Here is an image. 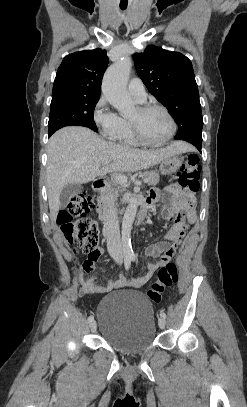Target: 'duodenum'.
<instances>
[{
    "mask_svg": "<svg viewBox=\"0 0 247 407\" xmlns=\"http://www.w3.org/2000/svg\"><path fill=\"white\" fill-rule=\"evenodd\" d=\"M108 185V182L104 178H97L93 182V190L96 193H101ZM150 205L146 202L143 201V203L140 206V209L138 211V216H137V223L140 224L142 223L147 215H148V210H149ZM96 213L98 214L99 218L101 221L108 223L110 222L112 218V211L111 208L106 205L104 202H98L97 207H96Z\"/></svg>",
    "mask_w": 247,
    "mask_h": 407,
    "instance_id": "duodenum-1",
    "label": "duodenum"
}]
</instances>
